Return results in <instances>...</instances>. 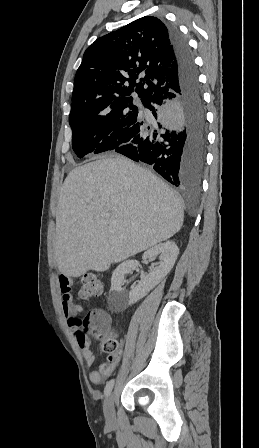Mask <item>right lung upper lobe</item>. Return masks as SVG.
Masks as SVG:
<instances>
[{"instance_id":"obj_1","label":"right lung upper lobe","mask_w":259,"mask_h":448,"mask_svg":"<svg viewBox=\"0 0 259 448\" xmlns=\"http://www.w3.org/2000/svg\"><path fill=\"white\" fill-rule=\"evenodd\" d=\"M179 83L175 54L162 20L144 16L90 45L74 80L71 114L144 104Z\"/></svg>"}]
</instances>
